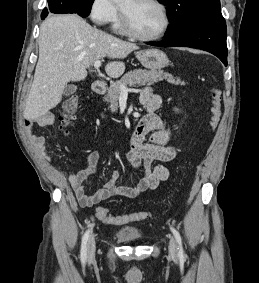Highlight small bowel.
Segmentation results:
<instances>
[{
	"mask_svg": "<svg viewBox=\"0 0 259 283\" xmlns=\"http://www.w3.org/2000/svg\"><path fill=\"white\" fill-rule=\"evenodd\" d=\"M141 103L147 107L149 113L144 117V122L135 130L126 152L128 162L138 171H141L140 176L136 179L134 185L121 186L117 184L120 178L119 172L112 171L109 173L104 187L95 194L88 195L85 191L84 182L94 176L100 159L97 151H88L85 156L88 163L87 167L82 171L71 173L67 177L82 206H93L113 196L136 198L147 190L156 189L161 181L169 179L170 170L163 163L172 161L177 155V150L170 144V130L155 113L162 104V98L146 89L141 94ZM55 121V115L49 112L28 119L25 124L28 138L46 160H49L46 153V138L36 135L33 127L35 124L42 127L50 126ZM155 162H158V164H154Z\"/></svg>",
	"mask_w": 259,
	"mask_h": 283,
	"instance_id": "obj_1",
	"label": "small bowel"
}]
</instances>
